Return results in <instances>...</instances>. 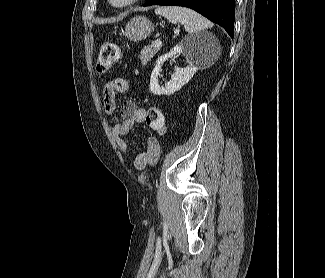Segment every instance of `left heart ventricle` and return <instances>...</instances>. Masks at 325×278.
<instances>
[{
	"label": "left heart ventricle",
	"mask_w": 325,
	"mask_h": 278,
	"mask_svg": "<svg viewBox=\"0 0 325 278\" xmlns=\"http://www.w3.org/2000/svg\"><path fill=\"white\" fill-rule=\"evenodd\" d=\"M115 2H123V1H125V0H114Z\"/></svg>",
	"instance_id": "left-heart-ventricle-1"
}]
</instances>
